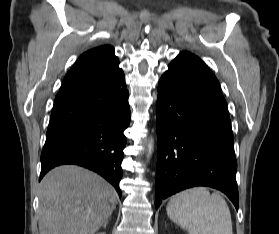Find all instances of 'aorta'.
Listing matches in <instances>:
<instances>
[{
    "instance_id": "aorta-1",
    "label": "aorta",
    "mask_w": 279,
    "mask_h": 234,
    "mask_svg": "<svg viewBox=\"0 0 279 234\" xmlns=\"http://www.w3.org/2000/svg\"><path fill=\"white\" fill-rule=\"evenodd\" d=\"M151 143H152V140H151ZM148 149H149V152H148V156L147 157H149L150 154H151V144L148 145Z\"/></svg>"
}]
</instances>
